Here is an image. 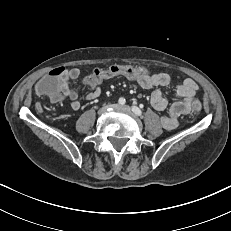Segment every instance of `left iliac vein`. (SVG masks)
<instances>
[{
    "mask_svg": "<svg viewBox=\"0 0 231 231\" xmlns=\"http://www.w3.org/2000/svg\"><path fill=\"white\" fill-rule=\"evenodd\" d=\"M113 108L115 109H119V110H122V111H125V112H131V108L129 106H126V105H114Z\"/></svg>",
    "mask_w": 231,
    "mask_h": 231,
    "instance_id": "obj_1",
    "label": "left iliac vein"
}]
</instances>
